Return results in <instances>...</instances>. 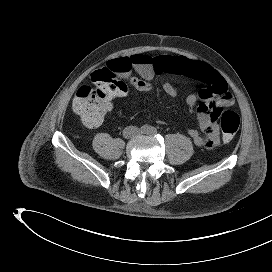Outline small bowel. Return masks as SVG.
<instances>
[{
  "label": "small bowel",
  "mask_w": 272,
  "mask_h": 272,
  "mask_svg": "<svg viewBox=\"0 0 272 272\" xmlns=\"http://www.w3.org/2000/svg\"><path fill=\"white\" fill-rule=\"evenodd\" d=\"M108 67L117 70L119 76L136 90L148 93L153 90L151 80L155 74L172 76L163 84L165 93L175 96L182 88H187L186 104L194 107L199 103L198 121L204 136L197 129H189L194 144L208 148L219 144L220 110L231 106L234 97L226 80L212 66L181 56L152 58L146 54H134L111 60ZM110 109L111 105L107 112Z\"/></svg>",
  "instance_id": "obj_1"
}]
</instances>
